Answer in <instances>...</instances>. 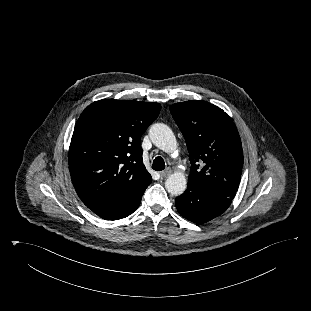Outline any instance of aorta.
I'll return each mask as SVG.
<instances>
[{"label":"aorta","mask_w":311,"mask_h":311,"mask_svg":"<svg viewBox=\"0 0 311 311\" xmlns=\"http://www.w3.org/2000/svg\"><path fill=\"white\" fill-rule=\"evenodd\" d=\"M149 136L152 143L159 149L170 153L176 150L177 140L173 131L163 123H156L150 127ZM187 187V180L183 173L175 172L165 181V188L168 193L179 196L184 193Z\"/></svg>","instance_id":"1"}]
</instances>
